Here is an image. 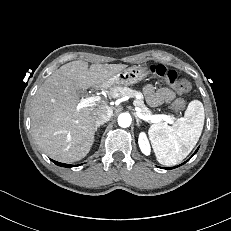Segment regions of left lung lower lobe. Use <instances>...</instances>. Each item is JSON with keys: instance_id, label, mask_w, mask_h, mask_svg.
<instances>
[{"instance_id": "1", "label": "left lung lower lobe", "mask_w": 231, "mask_h": 231, "mask_svg": "<svg viewBox=\"0 0 231 231\" xmlns=\"http://www.w3.org/2000/svg\"><path fill=\"white\" fill-rule=\"evenodd\" d=\"M197 150H198V149H197ZM197 150L195 151V153L197 152ZM195 153H194V154H195ZM194 154H193V155H194ZM174 168H175V167H174Z\"/></svg>"}]
</instances>
